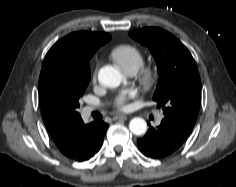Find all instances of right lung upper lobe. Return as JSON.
Returning <instances> with one entry per match:
<instances>
[{
	"instance_id": "right-lung-upper-lobe-1",
	"label": "right lung upper lobe",
	"mask_w": 236,
	"mask_h": 187,
	"mask_svg": "<svg viewBox=\"0 0 236 187\" xmlns=\"http://www.w3.org/2000/svg\"><path fill=\"white\" fill-rule=\"evenodd\" d=\"M111 39L103 32H75L57 41L46 54L42 68L58 60L84 68L88 58ZM42 70V69H41ZM42 118L59 150L70 155L76 136L83 124L81 117L58 114L41 107Z\"/></svg>"
}]
</instances>
